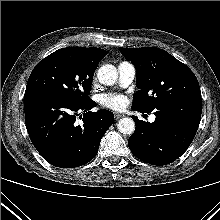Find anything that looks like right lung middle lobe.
<instances>
[{
    "label": "right lung middle lobe",
    "mask_w": 220,
    "mask_h": 220,
    "mask_svg": "<svg viewBox=\"0 0 220 220\" xmlns=\"http://www.w3.org/2000/svg\"><path fill=\"white\" fill-rule=\"evenodd\" d=\"M98 64L84 59L73 48H62L41 60L33 69L27 92H45L74 103L86 101Z\"/></svg>",
    "instance_id": "1"
}]
</instances>
